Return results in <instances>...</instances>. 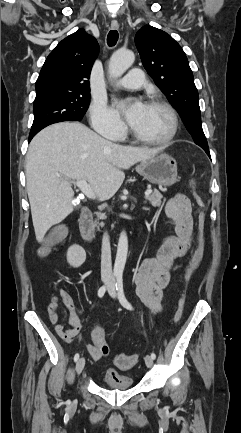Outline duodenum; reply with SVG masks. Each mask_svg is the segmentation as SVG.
I'll list each match as a JSON object with an SVG mask.
<instances>
[{
  "label": "duodenum",
  "mask_w": 241,
  "mask_h": 433,
  "mask_svg": "<svg viewBox=\"0 0 241 433\" xmlns=\"http://www.w3.org/2000/svg\"><path fill=\"white\" fill-rule=\"evenodd\" d=\"M80 233L83 240L87 243L94 242V233L92 230V213L88 209H84L80 215L79 220ZM140 231V226L138 227L137 233Z\"/></svg>",
  "instance_id": "obj_1"
}]
</instances>
